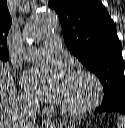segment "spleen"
I'll return each instance as SVG.
<instances>
[{"mask_svg":"<svg viewBox=\"0 0 125 128\" xmlns=\"http://www.w3.org/2000/svg\"><path fill=\"white\" fill-rule=\"evenodd\" d=\"M118 128H125V116L118 118Z\"/></svg>","mask_w":125,"mask_h":128,"instance_id":"spleen-1","label":"spleen"}]
</instances>
